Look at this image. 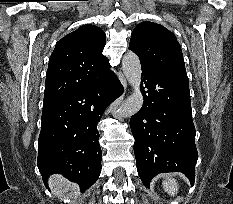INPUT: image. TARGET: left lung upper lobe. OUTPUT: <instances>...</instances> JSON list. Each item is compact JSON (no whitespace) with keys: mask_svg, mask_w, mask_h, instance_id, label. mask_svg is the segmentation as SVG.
<instances>
[{"mask_svg":"<svg viewBox=\"0 0 233 204\" xmlns=\"http://www.w3.org/2000/svg\"><path fill=\"white\" fill-rule=\"evenodd\" d=\"M129 49L138 55L141 66L188 80L180 45L162 25L148 21L138 24L131 34Z\"/></svg>","mask_w":233,"mask_h":204,"instance_id":"left-lung-upper-lobe-1","label":"left lung upper lobe"}]
</instances>
